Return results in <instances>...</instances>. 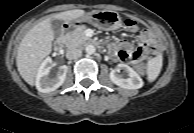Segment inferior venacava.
<instances>
[{"mask_svg": "<svg viewBox=\"0 0 194 133\" xmlns=\"http://www.w3.org/2000/svg\"><path fill=\"white\" fill-rule=\"evenodd\" d=\"M82 55V51L81 49H78V48H69L66 52V57L67 59L69 60H72V59H77L79 58L80 56Z\"/></svg>", "mask_w": 194, "mask_h": 133, "instance_id": "602c4592", "label": "inferior vena cava"}]
</instances>
